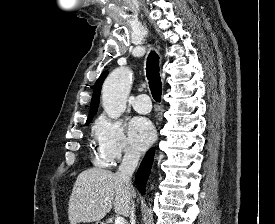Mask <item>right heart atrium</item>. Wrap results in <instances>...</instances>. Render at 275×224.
<instances>
[{"label": "right heart atrium", "instance_id": "d8ad5b80", "mask_svg": "<svg viewBox=\"0 0 275 224\" xmlns=\"http://www.w3.org/2000/svg\"><path fill=\"white\" fill-rule=\"evenodd\" d=\"M94 138L98 150L110 162L133 159L137 156L128 144L121 121H113L106 117L99 118L94 128Z\"/></svg>", "mask_w": 275, "mask_h": 224}]
</instances>
